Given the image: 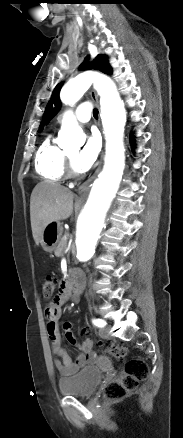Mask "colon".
I'll use <instances>...</instances> for the list:
<instances>
[{
  "label": "colon",
  "mask_w": 183,
  "mask_h": 438,
  "mask_svg": "<svg viewBox=\"0 0 183 438\" xmlns=\"http://www.w3.org/2000/svg\"><path fill=\"white\" fill-rule=\"evenodd\" d=\"M42 293L45 299H50L56 290L57 282L53 278L42 280ZM99 346L118 361H124L128 349L124 345L114 342H100ZM149 373L147 363L143 359L135 358L126 362L121 373L111 380L105 387L104 394L108 399H120L132 392L138 384L145 380Z\"/></svg>",
  "instance_id": "5ec220e1"
}]
</instances>
